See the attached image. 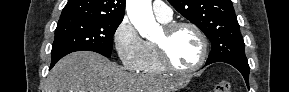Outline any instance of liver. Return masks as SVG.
<instances>
[{"label": "liver", "mask_w": 289, "mask_h": 92, "mask_svg": "<svg viewBox=\"0 0 289 92\" xmlns=\"http://www.w3.org/2000/svg\"><path fill=\"white\" fill-rule=\"evenodd\" d=\"M183 78L137 75L91 51L62 58L50 71L43 92H175Z\"/></svg>", "instance_id": "1"}]
</instances>
